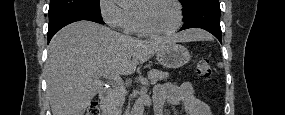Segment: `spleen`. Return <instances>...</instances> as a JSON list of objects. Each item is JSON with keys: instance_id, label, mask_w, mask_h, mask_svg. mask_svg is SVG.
<instances>
[{"instance_id": "1", "label": "spleen", "mask_w": 285, "mask_h": 115, "mask_svg": "<svg viewBox=\"0 0 285 115\" xmlns=\"http://www.w3.org/2000/svg\"><path fill=\"white\" fill-rule=\"evenodd\" d=\"M219 66L221 67V66H222V64H221V63H219Z\"/></svg>"}]
</instances>
